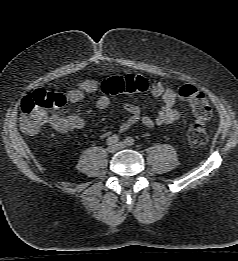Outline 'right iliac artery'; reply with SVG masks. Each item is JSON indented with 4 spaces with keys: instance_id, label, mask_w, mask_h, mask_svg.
I'll return each instance as SVG.
<instances>
[{
    "instance_id": "obj_1",
    "label": "right iliac artery",
    "mask_w": 238,
    "mask_h": 261,
    "mask_svg": "<svg viewBox=\"0 0 238 261\" xmlns=\"http://www.w3.org/2000/svg\"><path fill=\"white\" fill-rule=\"evenodd\" d=\"M119 140H120L119 136L114 134V135L108 137L107 144L108 145H115L116 143H118Z\"/></svg>"
}]
</instances>
